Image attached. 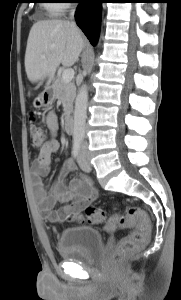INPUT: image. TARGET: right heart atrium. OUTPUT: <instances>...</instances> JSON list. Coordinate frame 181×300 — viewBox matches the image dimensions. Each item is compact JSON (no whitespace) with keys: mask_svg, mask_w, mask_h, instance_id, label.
<instances>
[{"mask_svg":"<svg viewBox=\"0 0 181 300\" xmlns=\"http://www.w3.org/2000/svg\"><path fill=\"white\" fill-rule=\"evenodd\" d=\"M57 1L68 2V1H70V0H57ZM58 4H60V5L62 6L63 10L65 9V7H66V4H65V3H58Z\"/></svg>","mask_w":181,"mask_h":300,"instance_id":"d8ad5b80","label":"right heart atrium"}]
</instances>
